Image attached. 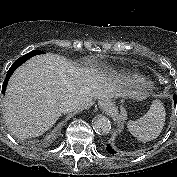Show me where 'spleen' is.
<instances>
[{
  "mask_svg": "<svg viewBox=\"0 0 177 177\" xmlns=\"http://www.w3.org/2000/svg\"><path fill=\"white\" fill-rule=\"evenodd\" d=\"M165 108L161 101L152 102L145 115L136 120H130L127 124L130 133L138 140L147 142L156 139L165 124Z\"/></svg>",
  "mask_w": 177,
  "mask_h": 177,
  "instance_id": "spleen-1",
  "label": "spleen"
}]
</instances>
